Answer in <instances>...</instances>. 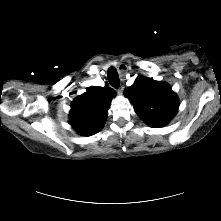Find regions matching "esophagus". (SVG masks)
I'll list each match as a JSON object with an SVG mask.
<instances>
[{
    "label": "esophagus",
    "instance_id": "1",
    "mask_svg": "<svg viewBox=\"0 0 221 221\" xmlns=\"http://www.w3.org/2000/svg\"><path fill=\"white\" fill-rule=\"evenodd\" d=\"M125 71H126V70L123 69V72H125ZM123 90H124V87H123V86L119 87L118 93H119V94H122Z\"/></svg>",
    "mask_w": 221,
    "mask_h": 221
}]
</instances>
